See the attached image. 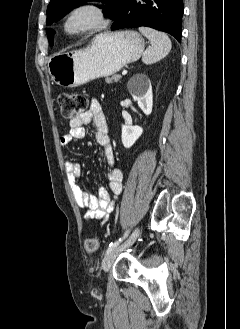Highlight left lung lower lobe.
<instances>
[{"label": "left lung lower lobe", "mask_w": 240, "mask_h": 329, "mask_svg": "<svg viewBox=\"0 0 240 329\" xmlns=\"http://www.w3.org/2000/svg\"><path fill=\"white\" fill-rule=\"evenodd\" d=\"M183 0H126L111 30L146 26L171 34L180 42Z\"/></svg>", "instance_id": "0a47b994"}]
</instances>
